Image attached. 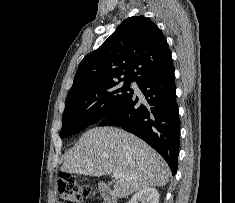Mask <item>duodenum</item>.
<instances>
[{"instance_id":"duodenum-1","label":"duodenum","mask_w":235,"mask_h":203,"mask_svg":"<svg viewBox=\"0 0 235 203\" xmlns=\"http://www.w3.org/2000/svg\"><path fill=\"white\" fill-rule=\"evenodd\" d=\"M99 192L102 196L103 203H117V197L114 191L107 184L100 183Z\"/></svg>"}]
</instances>
